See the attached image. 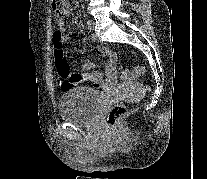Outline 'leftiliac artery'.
<instances>
[{"instance_id":"obj_1","label":"left iliac artery","mask_w":207,"mask_h":179,"mask_svg":"<svg viewBox=\"0 0 207 179\" xmlns=\"http://www.w3.org/2000/svg\"><path fill=\"white\" fill-rule=\"evenodd\" d=\"M89 25V21H87V26Z\"/></svg>"}]
</instances>
